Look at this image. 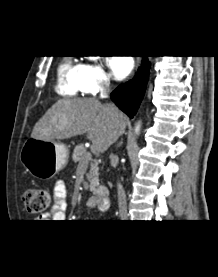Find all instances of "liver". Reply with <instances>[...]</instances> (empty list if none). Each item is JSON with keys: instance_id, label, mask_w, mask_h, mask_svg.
<instances>
[{"instance_id": "liver-1", "label": "liver", "mask_w": 218, "mask_h": 277, "mask_svg": "<svg viewBox=\"0 0 218 277\" xmlns=\"http://www.w3.org/2000/svg\"><path fill=\"white\" fill-rule=\"evenodd\" d=\"M125 128L126 117L116 107L91 98L61 99L35 124L31 138L55 141L87 133L93 151L102 153Z\"/></svg>"}]
</instances>
